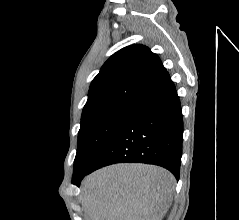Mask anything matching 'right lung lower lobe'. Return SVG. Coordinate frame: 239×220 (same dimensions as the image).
Returning a JSON list of instances; mask_svg holds the SVG:
<instances>
[{
	"label": "right lung lower lobe",
	"instance_id": "98d812e1",
	"mask_svg": "<svg viewBox=\"0 0 239 220\" xmlns=\"http://www.w3.org/2000/svg\"><path fill=\"white\" fill-rule=\"evenodd\" d=\"M182 135L180 100L169 77L131 105L86 175L114 163H147L168 169L178 180ZM83 178L72 183L79 186Z\"/></svg>",
	"mask_w": 239,
	"mask_h": 220
}]
</instances>
